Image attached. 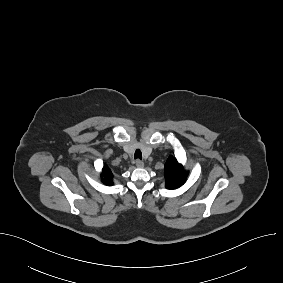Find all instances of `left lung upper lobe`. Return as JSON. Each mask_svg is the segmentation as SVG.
Here are the masks:
<instances>
[{"instance_id":"obj_1","label":"left lung upper lobe","mask_w":283,"mask_h":283,"mask_svg":"<svg viewBox=\"0 0 283 283\" xmlns=\"http://www.w3.org/2000/svg\"><path fill=\"white\" fill-rule=\"evenodd\" d=\"M164 168L166 188L176 189L184 184L188 173L184 171L183 166L177 162L176 158L170 156Z\"/></svg>"}]
</instances>
